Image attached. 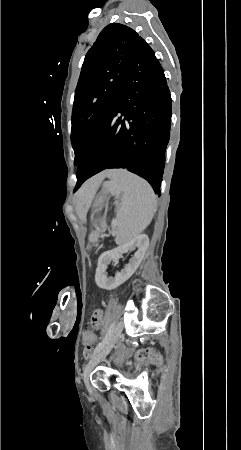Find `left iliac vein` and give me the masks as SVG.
<instances>
[{"label": "left iliac vein", "instance_id": "1", "mask_svg": "<svg viewBox=\"0 0 241 450\" xmlns=\"http://www.w3.org/2000/svg\"><path fill=\"white\" fill-rule=\"evenodd\" d=\"M124 328V323L120 321L113 332V335L109 338L107 343L101 348V350L96 353V355L92 358V360L84 367V382L88 389V391L91 393L92 388L90 386V375L94 368L106 358V356L111 352V350L114 348V346L122 339V331Z\"/></svg>", "mask_w": 241, "mask_h": 450}]
</instances>
